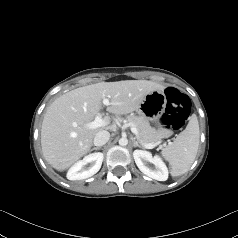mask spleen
Listing matches in <instances>:
<instances>
[{"instance_id":"obj_1","label":"spleen","mask_w":238,"mask_h":238,"mask_svg":"<svg viewBox=\"0 0 238 238\" xmlns=\"http://www.w3.org/2000/svg\"><path fill=\"white\" fill-rule=\"evenodd\" d=\"M198 146L199 124L197 116L193 114L185 130L161 152L171 166L172 176H180L189 170L197 155Z\"/></svg>"}]
</instances>
